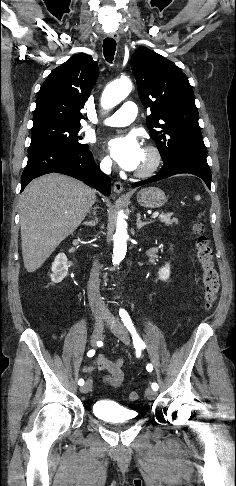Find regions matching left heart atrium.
<instances>
[{
	"instance_id": "1",
	"label": "left heart atrium",
	"mask_w": 236,
	"mask_h": 486,
	"mask_svg": "<svg viewBox=\"0 0 236 486\" xmlns=\"http://www.w3.org/2000/svg\"><path fill=\"white\" fill-rule=\"evenodd\" d=\"M107 149L116 163L128 171L136 170L139 167L144 152L140 142L133 134L109 140Z\"/></svg>"
}]
</instances>
